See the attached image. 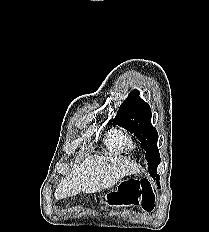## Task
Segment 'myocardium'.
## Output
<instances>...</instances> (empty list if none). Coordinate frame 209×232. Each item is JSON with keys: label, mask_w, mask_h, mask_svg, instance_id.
Listing matches in <instances>:
<instances>
[{"label": "myocardium", "mask_w": 209, "mask_h": 232, "mask_svg": "<svg viewBox=\"0 0 209 232\" xmlns=\"http://www.w3.org/2000/svg\"><path fill=\"white\" fill-rule=\"evenodd\" d=\"M118 140L123 148L131 149L133 147V140L130 133L126 130H117Z\"/></svg>", "instance_id": "1"}]
</instances>
